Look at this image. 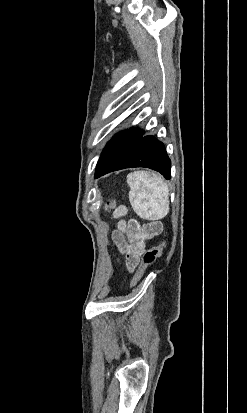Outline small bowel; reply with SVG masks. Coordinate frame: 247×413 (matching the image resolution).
I'll list each match as a JSON object with an SVG mask.
<instances>
[{
	"instance_id": "small-bowel-1",
	"label": "small bowel",
	"mask_w": 247,
	"mask_h": 413,
	"mask_svg": "<svg viewBox=\"0 0 247 413\" xmlns=\"http://www.w3.org/2000/svg\"><path fill=\"white\" fill-rule=\"evenodd\" d=\"M125 212V207H119L114 216L121 217ZM162 230L163 225L160 221L140 224L135 220L121 219L117 230L112 234V239L119 251L125 255L128 267L134 269L139 263V254L146 248V242L159 235Z\"/></svg>"
}]
</instances>
